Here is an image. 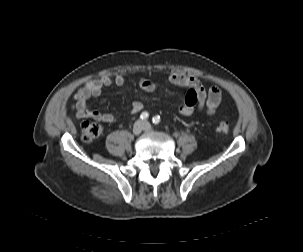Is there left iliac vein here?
Masks as SVG:
<instances>
[{
  "label": "left iliac vein",
  "instance_id": "1",
  "mask_svg": "<svg viewBox=\"0 0 303 252\" xmlns=\"http://www.w3.org/2000/svg\"><path fill=\"white\" fill-rule=\"evenodd\" d=\"M144 130L150 131L152 129L151 125L148 122H143Z\"/></svg>",
  "mask_w": 303,
  "mask_h": 252
}]
</instances>
